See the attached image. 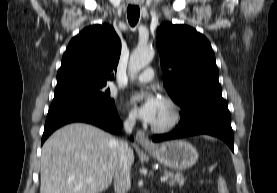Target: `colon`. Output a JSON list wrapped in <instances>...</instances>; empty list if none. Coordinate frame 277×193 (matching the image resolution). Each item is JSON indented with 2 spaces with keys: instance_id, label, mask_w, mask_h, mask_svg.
Instances as JSON below:
<instances>
[{
  "instance_id": "1",
  "label": "colon",
  "mask_w": 277,
  "mask_h": 193,
  "mask_svg": "<svg viewBox=\"0 0 277 193\" xmlns=\"http://www.w3.org/2000/svg\"><path fill=\"white\" fill-rule=\"evenodd\" d=\"M217 191L218 193H230L228 183L222 176L217 178Z\"/></svg>"
}]
</instances>
